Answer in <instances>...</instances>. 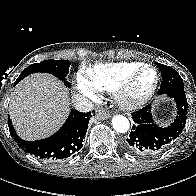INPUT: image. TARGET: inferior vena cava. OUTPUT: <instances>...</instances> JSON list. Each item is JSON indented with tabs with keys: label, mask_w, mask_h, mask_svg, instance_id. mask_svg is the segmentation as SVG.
Masks as SVG:
<instances>
[{
	"label": "inferior vena cava",
	"mask_w": 196,
	"mask_h": 196,
	"mask_svg": "<svg viewBox=\"0 0 196 196\" xmlns=\"http://www.w3.org/2000/svg\"><path fill=\"white\" fill-rule=\"evenodd\" d=\"M72 106L80 112H89L93 109V103L86 97L77 94L73 97Z\"/></svg>",
	"instance_id": "1"
}]
</instances>
